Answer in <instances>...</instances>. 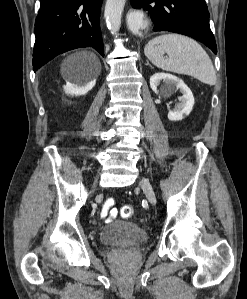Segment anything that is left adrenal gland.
Returning <instances> with one entry per match:
<instances>
[{
	"mask_svg": "<svg viewBox=\"0 0 247 299\" xmlns=\"http://www.w3.org/2000/svg\"><path fill=\"white\" fill-rule=\"evenodd\" d=\"M146 65H149V66L152 68V66L149 64V62H148V61H147Z\"/></svg>",
	"mask_w": 247,
	"mask_h": 299,
	"instance_id": "a2214340",
	"label": "left adrenal gland"
}]
</instances>
